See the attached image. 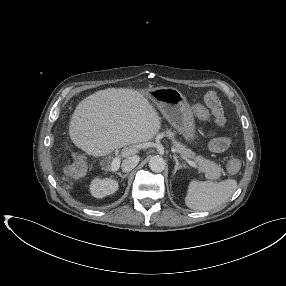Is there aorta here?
<instances>
[{
	"label": "aorta",
	"mask_w": 286,
	"mask_h": 286,
	"mask_svg": "<svg viewBox=\"0 0 286 286\" xmlns=\"http://www.w3.org/2000/svg\"><path fill=\"white\" fill-rule=\"evenodd\" d=\"M149 167L153 172H162L166 167L165 160L160 156H153L149 161Z\"/></svg>",
	"instance_id": "762f6f07"
}]
</instances>
